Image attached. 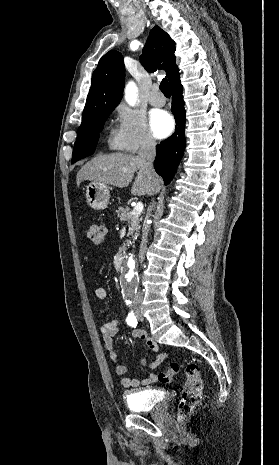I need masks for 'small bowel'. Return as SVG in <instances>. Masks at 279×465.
<instances>
[{
  "label": "small bowel",
  "mask_w": 279,
  "mask_h": 465,
  "mask_svg": "<svg viewBox=\"0 0 279 465\" xmlns=\"http://www.w3.org/2000/svg\"><path fill=\"white\" fill-rule=\"evenodd\" d=\"M95 299L97 302H103L107 299V291L103 287H98L94 291ZM118 320L114 319L109 322L104 323L100 327V333L103 339L105 348L108 351L111 362L115 367V371L118 375L122 376L121 384L124 388H136L139 386H148L158 381V376L156 373L152 372L150 375L142 380H138L134 377L126 376L128 369L126 366L121 364L119 356L113 346V338L118 332ZM132 336L135 339H140L144 341L146 347L153 353H157L159 348L157 343L149 337L142 330H135L132 333ZM167 359L166 353L157 354L153 359H141V364L146 365L151 369H156L162 362Z\"/></svg>",
  "instance_id": "obj_1"
}]
</instances>
